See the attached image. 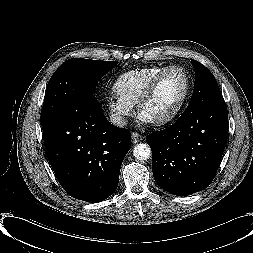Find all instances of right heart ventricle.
<instances>
[{"instance_id":"e07e8e85","label":"right heart ventricle","mask_w":253,"mask_h":253,"mask_svg":"<svg viewBox=\"0 0 253 253\" xmlns=\"http://www.w3.org/2000/svg\"><path fill=\"white\" fill-rule=\"evenodd\" d=\"M169 67L151 66L125 72L117 78L114 91L119 98L134 106L149 83Z\"/></svg>"}]
</instances>
